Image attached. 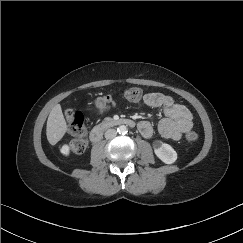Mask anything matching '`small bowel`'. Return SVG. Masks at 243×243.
<instances>
[{
    "mask_svg": "<svg viewBox=\"0 0 243 243\" xmlns=\"http://www.w3.org/2000/svg\"><path fill=\"white\" fill-rule=\"evenodd\" d=\"M116 105L115 98L111 95H101L95 99L94 111L98 115L105 114ZM140 108H160L165 118L159 121L157 132L160 136L179 140L193 126L192 114L187 107L178 104L167 95L158 92L146 94L139 104ZM142 136L150 138L154 135V126L149 121H142L138 125Z\"/></svg>",
    "mask_w": 243,
    "mask_h": 243,
    "instance_id": "1",
    "label": "small bowel"
}]
</instances>
